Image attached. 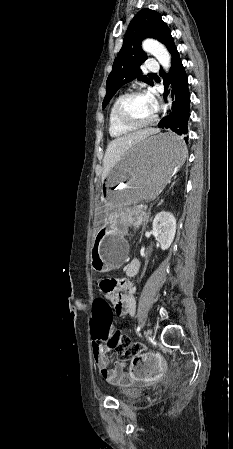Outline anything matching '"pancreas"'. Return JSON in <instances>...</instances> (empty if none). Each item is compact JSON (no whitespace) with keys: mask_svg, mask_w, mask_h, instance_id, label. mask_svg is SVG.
<instances>
[{"mask_svg":"<svg viewBox=\"0 0 233 449\" xmlns=\"http://www.w3.org/2000/svg\"><path fill=\"white\" fill-rule=\"evenodd\" d=\"M120 218L126 225L139 227L148 221L149 215L144 209L135 206L124 210Z\"/></svg>","mask_w":233,"mask_h":449,"instance_id":"obj_1","label":"pancreas"}]
</instances>
